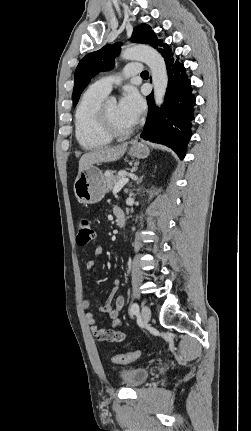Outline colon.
<instances>
[{"mask_svg": "<svg viewBox=\"0 0 251 431\" xmlns=\"http://www.w3.org/2000/svg\"><path fill=\"white\" fill-rule=\"evenodd\" d=\"M77 236L76 242L80 247H85L93 242L95 238V230L88 218H80L77 221ZM142 352L135 350L125 354H119L112 357V361L117 364H127L140 358Z\"/></svg>", "mask_w": 251, "mask_h": 431, "instance_id": "5ec220e1", "label": "colon"}]
</instances>
